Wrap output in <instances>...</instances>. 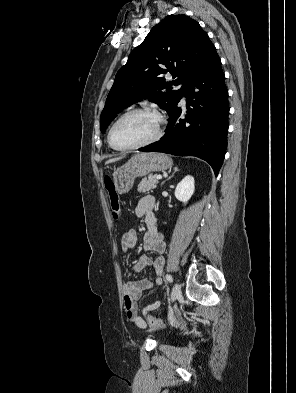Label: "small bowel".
Here are the masks:
<instances>
[{"label": "small bowel", "instance_id": "c3829d8e", "mask_svg": "<svg viewBox=\"0 0 296 393\" xmlns=\"http://www.w3.org/2000/svg\"><path fill=\"white\" fill-rule=\"evenodd\" d=\"M155 199L152 196L143 197L135 208V215L143 217L148 227L147 232L143 237V248L145 252H156L159 255L156 258H151L148 255H143L139 261L134 265L133 271L139 272L145 267H151L156 275L154 282L148 279H141L137 281L126 282L123 285L124 294V309L126 316L130 322L140 328L146 327V322L142 316L138 314L137 301L141 298L143 292L151 289L154 284L161 285L164 267V258L162 253L166 249V243L163 235L156 227V218L154 215ZM137 243V234L133 229H128L124 232L121 238V246L123 251L127 252L135 247ZM161 301H155L146 305L142 313L147 315L149 312L158 309Z\"/></svg>", "mask_w": 296, "mask_h": 393}]
</instances>
